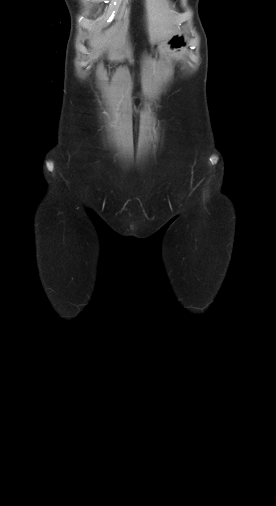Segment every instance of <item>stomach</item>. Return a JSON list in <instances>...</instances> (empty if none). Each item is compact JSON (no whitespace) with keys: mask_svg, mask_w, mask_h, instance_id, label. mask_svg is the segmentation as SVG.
<instances>
[{"mask_svg":"<svg viewBox=\"0 0 276 506\" xmlns=\"http://www.w3.org/2000/svg\"><path fill=\"white\" fill-rule=\"evenodd\" d=\"M187 45V35L184 32H180L175 33L167 40L158 42L155 46V49H159L160 47H167L173 52H179L185 49Z\"/></svg>","mask_w":276,"mask_h":506,"instance_id":"stomach-1","label":"stomach"}]
</instances>
